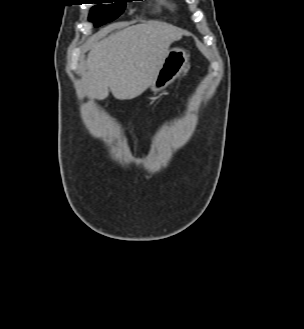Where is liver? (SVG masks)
Listing matches in <instances>:
<instances>
[{
    "instance_id": "liver-1",
    "label": "liver",
    "mask_w": 304,
    "mask_h": 329,
    "mask_svg": "<svg viewBox=\"0 0 304 329\" xmlns=\"http://www.w3.org/2000/svg\"><path fill=\"white\" fill-rule=\"evenodd\" d=\"M182 35L178 27L151 21L95 41L84 74L88 96L103 100L109 89L118 100L141 95L153 83L170 45Z\"/></svg>"
}]
</instances>
